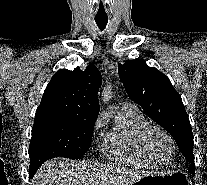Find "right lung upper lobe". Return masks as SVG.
I'll return each instance as SVG.
<instances>
[{"label":"right lung upper lobe","instance_id":"1","mask_svg":"<svg viewBox=\"0 0 207 185\" xmlns=\"http://www.w3.org/2000/svg\"><path fill=\"white\" fill-rule=\"evenodd\" d=\"M101 83L102 76L93 64L84 71L59 70L47 85L35 117L68 118L94 125Z\"/></svg>","mask_w":207,"mask_h":185}]
</instances>
